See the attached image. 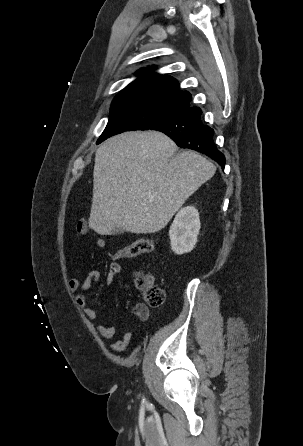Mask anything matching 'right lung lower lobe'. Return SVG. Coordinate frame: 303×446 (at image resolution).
<instances>
[{
  "instance_id": "right-lung-lower-lobe-1",
  "label": "right lung lower lobe",
  "mask_w": 303,
  "mask_h": 446,
  "mask_svg": "<svg viewBox=\"0 0 303 446\" xmlns=\"http://www.w3.org/2000/svg\"><path fill=\"white\" fill-rule=\"evenodd\" d=\"M201 110L187 106L163 115L143 126L140 130H157L168 135L179 147L201 152L225 167V157L217 149L214 130L201 121Z\"/></svg>"
}]
</instances>
